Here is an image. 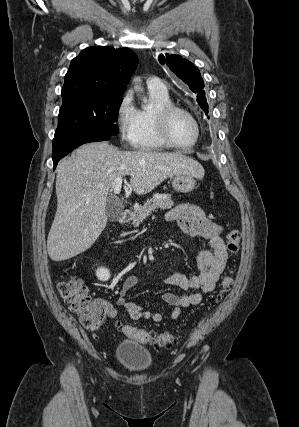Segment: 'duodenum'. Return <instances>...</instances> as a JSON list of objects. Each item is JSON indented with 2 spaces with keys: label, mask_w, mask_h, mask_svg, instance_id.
I'll use <instances>...</instances> for the list:
<instances>
[{
  "label": "duodenum",
  "mask_w": 299,
  "mask_h": 427,
  "mask_svg": "<svg viewBox=\"0 0 299 427\" xmlns=\"http://www.w3.org/2000/svg\"><path fill=\"white\" fill-rule=\"evenodd\" d=\"M131 218H132V212L130 210H125L121 217V223L127 224L130 222Z\"/></svg>",
  "instance_id": "obj_1"
}]
</instances>
